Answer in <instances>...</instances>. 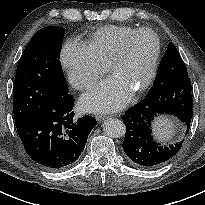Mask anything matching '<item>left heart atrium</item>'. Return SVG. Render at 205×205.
<instances>
[{"instance_id": "39dd6f15", "label": "left heart atrium", "mask_w": 205, "mask_h": 205, "mask_svg": "<svg viewBox=\"0 0 205 205\" xmlns=\"http://www.w3.org/2000/svg\"><path fill=\"white\" fill-rule=\"evenodd\" d=\"M131 95L132 90L112 75L82 96L80 106L92 112H111L122 108Z\"/></svg>"}]
</instances>
